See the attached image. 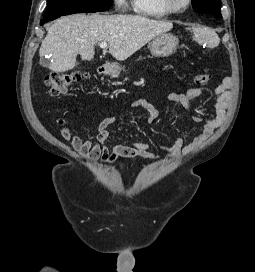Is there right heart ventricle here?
<instances>
[{
    "instance_id": "right-heart-ventricle-1",
    "label": "right heart ventricle",
    "mask_w": 255,
    "mask_h": 272,
    "mask_svg": "<svg viewBox=\"0 0 255 272\" xmlns=\"http://www.w3.org/2000/svg\"><path fill=\"white\" fill-rule=\"evenodd\" d=\"M134 11L143 16L163 18L169 13L162 5L161 0H132Z\"/></svg>"
}]
</instances>
